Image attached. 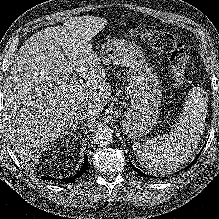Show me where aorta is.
Wrapping results in <instances>:
<instances>
[{"mask_svg": "<svg viewBox=\"0 0 219 219\" xmlns=\"http://www.w3.org/2000/svg\"><path fill=\"white\" fill-rule=\"evenodd\" d=\"M113 140V130L110 127H100L93 135L94 144L99 147L107 146Z\"/></svg>", "mask_w": 219, "mask_h": 219, "instance_id": "aorta-1", "label": "aorta"}]
</instances>
